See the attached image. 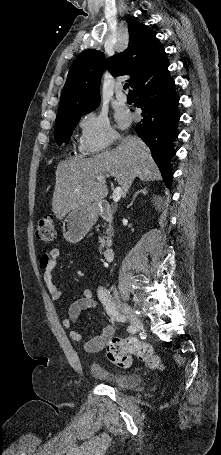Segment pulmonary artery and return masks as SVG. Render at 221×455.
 Instances as JSON below:
<instances>
[{"label":"pulmonary artery","instance_id":"1","mask_svg":"<svg viewBox=\"0 0 221 455\" xmlns=\"http://www.w3.org/2000/svg\"><path fill=\"white\" fill-rule=\"evenodd\" d=\"M115 97H116L117 101L120 102V103H125L126 102L127 96L123 92L122 86L119 85V86H117L115 88Z\"/></svg>","mask_w":221,"mask_h":455}]
</instances>
